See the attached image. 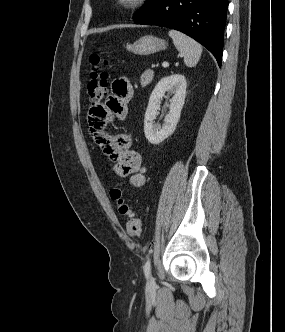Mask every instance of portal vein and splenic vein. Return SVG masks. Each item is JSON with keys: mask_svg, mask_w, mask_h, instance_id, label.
Segmentation results:
<instances>
[{"mask_svg": "<svg viewBox=\"0 0 285 332\" xmlns=\"http://www.w3.org/2000/svg\"><path fill=\"white\" fill-rule=\"evenodd\" d=\"M162 66H163V67H168V66H169V63H168V62H163V63H162Z\"/></svg>", "mask_w": 285, "mask_h": 332, "instance_id": "1", "label": "portal vein and splenic vein"}]
</instances>
